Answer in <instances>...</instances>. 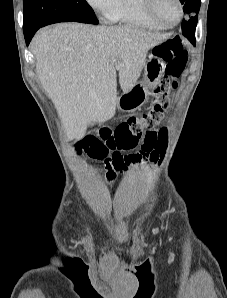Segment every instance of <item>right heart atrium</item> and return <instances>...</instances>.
Listing matches in <instances>:
<instances>
[{
  "label": "right heart atrium",
  "instance_id": "d8ad5b80",
  "mask_svg": "<svg viewBox=\"0 0 227 298\" xmlns=\"http://www.w3.org/2000/svg\"><path fill=\"white\" fill-rule=\"evenodd\" d=\"M86 2L95 10L104 12L111 0H86Z\"/></svg>",
  "mask_w": 227,
  "mask_h": 298
}]
</instances>
